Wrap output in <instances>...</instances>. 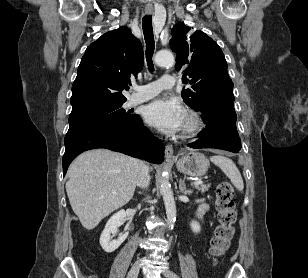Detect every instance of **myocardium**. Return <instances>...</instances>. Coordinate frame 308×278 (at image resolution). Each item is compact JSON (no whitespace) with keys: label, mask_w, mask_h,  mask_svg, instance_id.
Listing matches in <instances>:
<instances>
[{"label":"myocardium","mask_w":308,"mask_h":278,"mask_svg":"<svg viewBox=\"0 0 308 278\" xmlns=\"http://www.w3.org/2000/svg\"><path fill=\"white\" fill-rule=\"evenodd\" d=\"M203 119L199 113L189 110L186 114V123L183 126L181 136L184 138L197 135L203 128Z\"/></svg>","instance_id":"f54148a6"}]
</instances>
